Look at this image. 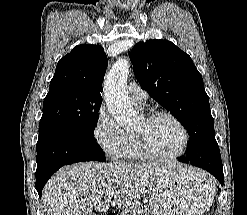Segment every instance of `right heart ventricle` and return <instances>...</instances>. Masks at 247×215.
Listing matches in <instances>:
<instances>
[{"instance_id": "e07e8e85", "label": "right heart ventricle", "mask_w": 247, "mask_h": 215, "mask_svg": "<svg viewBox=\"0 0 247 215\" xmlns=\"http://www.w3.org/2000/svg\"><path fill=\"white\" fill-rule=\"evenodd\" d=\"M121 157L129 160L144 158L137 146L136 139L131 132H125V143L122 148Z\"/></svg>"}]
</instances>
